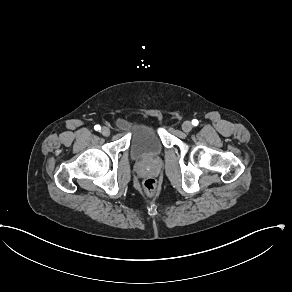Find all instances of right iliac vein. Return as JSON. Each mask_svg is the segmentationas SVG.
I'll list each match as a JSON object with an SVG mask.
<instances>
[{"instance_id":"right-iliac-vein-1","label":"right iliac vein","mask_w":292,"mask_h":292,"mask_svg":"<svg viewBox=\"0 0 292 292\" xmlns=\"http://www.w3.org/2000/svg\"><path fill=\"white\" fill-rule=\"evenodd\" d=\"M100 132L105 137H108L110 135V129L106 126L102 127Z\"/></svg>"}]
</instances>
